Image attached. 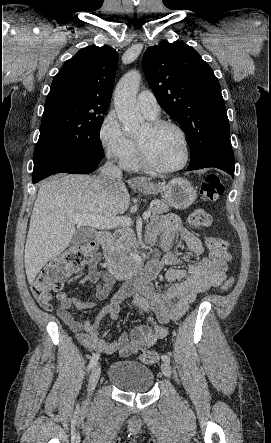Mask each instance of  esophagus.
I'll return each instance as SVG.
<instances>
[{
	"instance_id": "34e87169",
	"label": "esophagus",
	"mask_w": 271,
	"mask_h": 443,
	"mask_svg": "<svg viewBox=\"0 0 271 443\" xmlns=\"http://www.w3.org/2000/svg\"><path fill=\"white\" fill-rule=\"evenodd\" d=\"M131 182H133V183H143L144 181L142 179H140V178L133 177L131 179Z\"/></svg>"
}]
</instances>
